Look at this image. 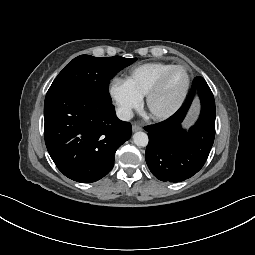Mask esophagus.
Masks as SVG:
<instances>
[{"label": "esophagus", "mask_w": 255, "mask_h": 255, "mask_svg": "<svg viewBox=\"0 0 255 255\" xmlns=\"http://www.w3.org/2000/svg\"><path fill=\"white\" fill-rule=\"evenodd\" d=\"M140 130H142L141 126H139V125H137V124H134V125L132 126V131H133V132L140 131Z\"/></svg>", "instance_id": "obj_1"}]
</instances>
